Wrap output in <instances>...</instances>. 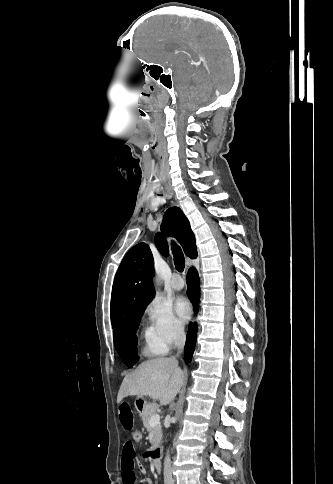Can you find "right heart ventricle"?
I'll return each mask as SVG.
<instances>
[{
  "instance_id": "obj_1",
  "label": "right heart ventricle",
  "mask_w": 333,
  "mask_h": 484,
  "mask_svg": "<svg viewBox=\"0 0 333 484\" xmlns=\"http://www.w3.org/2000/svg\"><path fill=\"white\" fill-rule=\"evenodd\" d=\"M143 336L145 338V341H146V352L148 354H159L161 352H159L158 350H156L152 344V341H151V335H150V330L149 329H145L144 332H143Z\"/></svg>"
}]
</instances>
